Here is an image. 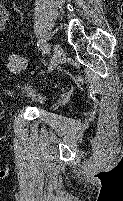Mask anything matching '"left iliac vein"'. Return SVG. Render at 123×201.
<instances>
[{"instance_id":"left-iliac-vein-1","label":"left iliac vein","mask_w":123,"mask_h":201,"mask_svg":"<svg viewBox=\"0 0 123 201\" xmlns=\"http://www.w3.org/2000/svg\"><path fill=\"white\" fill-rule=\"evenodd\" d=\"M65 59V54L61 46L56 43L53 47V60L51 62V69L62 63Z\"/></svg>"}]
</instances>
